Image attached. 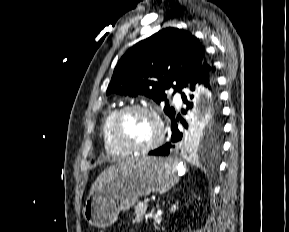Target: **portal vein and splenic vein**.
Here are the masks:
<instances>
[{
    "label": "portal vein and splenic vein",
    "instance_id": "1",
    "mask_svg": "<svg viewBox=\"0 0 289 232\" xmlns=\"http://www.w3.org/2000/svg\"><path fill=\"white\" fill-rule=\"evenodd\" d=\"M149 202H150V199L146 198L144 203H149Z\"/></svg>",
    "mask_w": 289,
    "mask_h": 232
}]
</instances>
